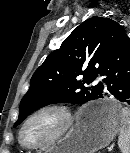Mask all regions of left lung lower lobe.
Instances as JSON below:
<instances>
[{
  "label": "left lung lower lobe",
  "instance_id": "0a47b994",
  "mask_svg": "<svg viewBox=\"0 0 130 153\" xmlns=\"http://www.w3.org/2000/svg\"><path fill=\"white\" fill-rule=\"evenodd\" d=\"M101 76L107 85L108 92H104V86L100 82V96H113L121 102L130 105V39L123 31L105 61Z\"/></svg>",
  "mask_w": 130,
  "mask_h": 153
}]
</instances>
